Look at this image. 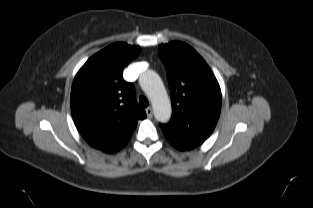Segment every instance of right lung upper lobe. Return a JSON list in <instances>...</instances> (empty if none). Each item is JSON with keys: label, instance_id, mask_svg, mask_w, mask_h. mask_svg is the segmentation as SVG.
I'll use <instances>...</instances> for the list:
<instances>
[{"label": "right lung upper lobe", "instance_id": "cb5924a9", "mask_svg": "<svg viewBox=\"0 0 313 208\" xmlns=\"http://www.w3.org/2000/svg\"><path fill=\"white\" fill-rule=\"evenodd\" d=\"M140 53V47L112 44L93 55L76 74L71 89L74 123L88 143L124 145L137 121L145 119L132 83L123 69Z\"/></svg>", "mask_w": 313, "mask_h": 208}]
</instances>
